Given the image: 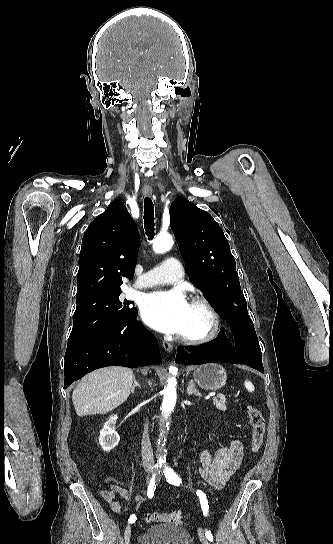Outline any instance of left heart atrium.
<instances>
[{
	"instance_id": "left-heart-atrium-1",
	"label": "left heart atrium",
	"mask_w": 333,
	"mask_h": 544,
	"mask_svg": "<svg viewBox=\"0 0 333 544\" xmlns=\"http://www.w3.org/2000/svg\"><path fill=\"white\" fill-rule=\"evenodd\" d=\"M190 304L180 290L156 291L141 303L143 321L163 333L181 334L187 321Z\"/></svg>"
}]
</instances>
